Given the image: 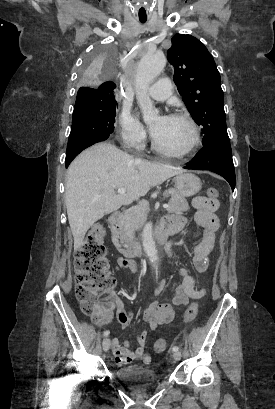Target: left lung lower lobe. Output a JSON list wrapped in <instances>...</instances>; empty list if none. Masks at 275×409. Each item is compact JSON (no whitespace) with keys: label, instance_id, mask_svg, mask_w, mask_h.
Returning a JSON list of instances; mask_svg holds the SVG:
<instances>
[{"label":"left lung lower lobe","instance_id":"obj_1","mask_svg":"<svg viewBox=\"0 0 275 409\" xmlns=\"http://www.w3.org/2000/svg\"><path fill=\"white\" fill-rule=\"evenodd\" d=\"M184 168L215 172L224 177L234 191L235 171L229 140L215 142L208 147H203Z\"/></svg>","mask_w":275,"mask_h":409}]
</instances>
